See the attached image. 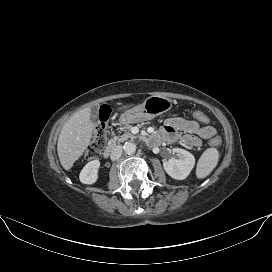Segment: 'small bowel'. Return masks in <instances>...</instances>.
Instances as JSON below:
<instances>
[{"label":"small bowel","mask_w":272,"mask_h":272,"mask_svg":"<svg viewBox=\"0 0 272 272\" xmlns=\"http://www.w3.org/2000/svg\"><path fill=\"white\" fill-rule=\"evenodd\" d=\"M183 133V134H181ZM216 134L214 127L201 126L195 120L183 117H171L165 120L160 131L152 136L154 143L159 140L175 142L181 141L191 148H198L202 140H210Z\"/></svg>","instance_id":"obj_1"}]
</instances>
